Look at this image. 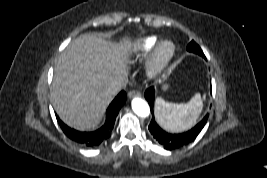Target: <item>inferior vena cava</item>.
<instances>
[{
    "instance_id": "1",
    "label": "inferior vena cava",
    "mask_w": 267,
    "mask_h": 178,
    "mask_svg": "<svg viewBox=\"0 0 267 178\" xmlns=\"http://www.w3.org/2000/svg\"><path fill=\"white\" fill-rule=\"evenodd\" d=\"M128 84V78H121L119 80L114 81L113 83H111L108 87V91L115 95L117 94L119 91H121L122 89H124Z\"/></svg>"
}]
</instances>
